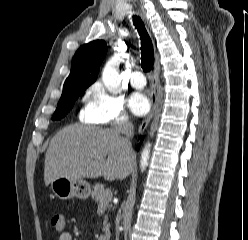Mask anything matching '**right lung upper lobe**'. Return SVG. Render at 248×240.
Wrapping results in <instances>:
<instances>
[{
	"label": "right lung upper lobe",
	"instance_id": "cb5924a9",
	"mask_svg": "<svg viewBox=\"0 0 248 240\" xmlns=\"http://www.w3.org/2000/svg\"><path fill=\"white\" fill-rule=\"evenodd\" d=\"M106 52L107 44L104 40H95L82 45L72 59L71 71L64 86L69 84L90 86L97 78Z\"/></svg>",
	"mask_w": 248,
	"mask_h": 240
}]
</instances>
